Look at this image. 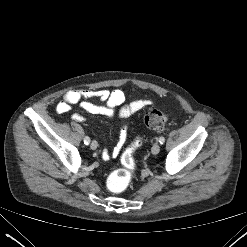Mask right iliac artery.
<instances>
[{"label":"right iliac artery","mask_w":247,"mask_h":247,"mask_svg":"<svg viewBox=\"0 0 247 247\" xmlns=\"http://www.w3.org/2000/svg\"><path fill=\"white\" fill-rule=\"evenodd\" d=\"M89 143H90V138L88 136H86L84 138V144L89 145Z\"/></svg>","instance_id":"1"}]
</instances>
